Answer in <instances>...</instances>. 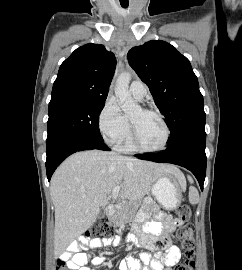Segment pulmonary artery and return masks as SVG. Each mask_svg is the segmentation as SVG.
<instances>
[{
	"mask_svg": "<svg viewBox=\"0 0 242 270\" xmlns=\"http://www.w3.org/2000/svg\"><path fill=\"white\" fill-rule=\"evenodd\" d=\"M129 91L132 97L138 101H141L147 93L145 84L138 80L131 83Z\"/></svg>",
	"mask_w": 242,
	"mask_h": 270,
	"instance_id": "1",
	"label": "pulmonary artery"
}]
</instances>
